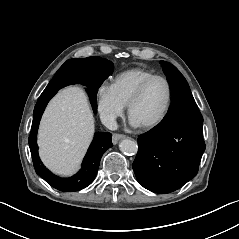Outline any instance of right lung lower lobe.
<instances>
[{"instance_id":"obj_1","label":"right lung lower lobe","mask_w":239,"mask_h":239,"mask_svg":"<svg viewBox=\"0 0 239 239\" xmlns=\"http://www.w3.org/2000/svg\"><path fill=\"white\" fill-rule=\"evenodd\" d=\"M113 68L112 62L104 61L96 56L69 59L57 71L53 88L50 91L43 92L35 105L29 136L34 168L40 177L57 190L74 192L89 186L96 176L102 155L113 146L112 135L106 132H97L83 160L80 171L72 177L61 178L50 172L42 164L38 155L37 131L44 109L59 89L70 84H82L87 87L93 110L96 112V94L103 81L113 72Z\"/></svg>"}]
</instances>
